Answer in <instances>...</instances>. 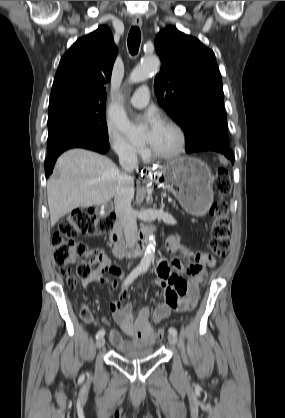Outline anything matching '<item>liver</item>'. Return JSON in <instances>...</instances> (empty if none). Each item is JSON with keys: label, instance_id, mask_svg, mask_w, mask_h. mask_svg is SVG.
I'll return each instance as SVG.
<instances>
[{"label": "liver", "instance_id": "1", "mask_svg": "<svg viewBox=\"0 0 285 418\" xmlns=\"http://www.w3.org/2000/svg\"><path fill=\"white\" fill-rule=\"evenodd\" d=\"M47 182L51 226L78 207L105 204L115 197L120 171L108 157L85 149H71L56 161Z\"/></svg>", "mask_w": 285, "mask_h": 418}]
</instances>
